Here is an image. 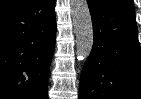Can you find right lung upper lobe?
<instances>
[{
  "label": "right lung upper lobe",
  "instance_id": "cb5924a9",
  "mask_svg": "<svg viewBox=\"0 0 141 99\" xmlns=\"http://www.w3.org/2000/svg\"><path fill=\"white\" fill-rule=\"evenodd\" d=\"M21 1L22 0H0V11L6 10Z\"/></svg>",
  "mask_w": 141,
  "mask_h": 99
}]
</instances>
